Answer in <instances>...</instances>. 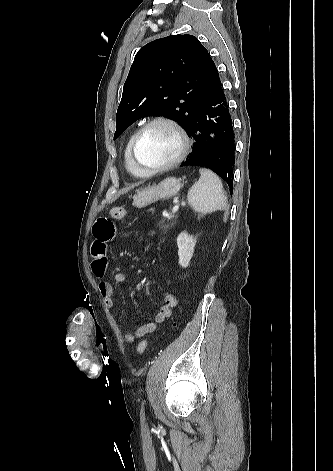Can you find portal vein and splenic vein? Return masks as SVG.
I'll return each instance as SVG.
<instances>
[{
  "label": "portal vein and splenic vein",
  "instance_id": "1",
  "mask_svg": "<svg viewBox=\"0 0 333 471\" xmlns=\"http://www.w3.org/2000/svg\"><path fill=\"white\" fill-rule=\"evenodd\" d=\"M179 207H180L179 204H175V206L172 209V213H176L179 210Z\"/></svg>",
  "mask_w": 333,
  "mask_h": 471
}]
</instances>
